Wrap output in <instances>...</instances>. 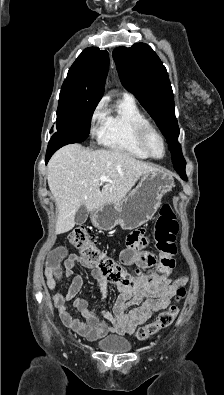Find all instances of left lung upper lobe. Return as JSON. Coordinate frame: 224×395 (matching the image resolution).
<instances>
[{
  "label": "left lung upper lobe",
  "mask_w": 224,
  "mask_h": 395,
  "mask_svg": "<svg viewBox=\"0 0 224 395\" xmlns=\"http://www.w3.org/2000/svg\"><path fill=\"white\" fill-rule=\"evenodd\" d=\"M113 58L123 86L135 95L166 137L173 165L182 162L174 96L165 66L145 43L118 47Z\"/></svg>",
  "instance_id": "5c2ea615"
}]
</instances>
